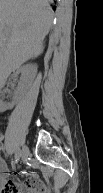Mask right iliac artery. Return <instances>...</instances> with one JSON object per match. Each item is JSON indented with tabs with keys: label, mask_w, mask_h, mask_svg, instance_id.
Returning a JSON list of instances; mask_svg holds the SVG:
<instances>
[{
	"label": "right iliac artery",
	"mask_w": 103,
	"mask_h": 193,
	"mask_svg": "<svg viewBox=\"0 0 103 193\" xmlns=\"http://www.w3.org/2000/svg\"><path fill=\"white\" fill-rule=\"evenodd\" d=\"M21 157V152L20 150H17L15 153V162L17 163Z\"/></svg>",
	"instance_id": "right-iliac-artery-1"
}]
</instances>
